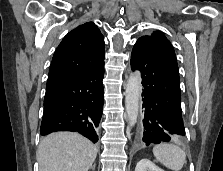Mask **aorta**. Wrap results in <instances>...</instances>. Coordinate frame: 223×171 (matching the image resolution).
<instances>
[{"mask_svg":"<svg viewBox=\"0 0 223 171\" xmlns=\"http://www.w3.org/2000/svg\"><path fill=\"white\" fill-rule=\"evenodd\" d=\"M140 93L141 74L139 71H135L129 76L125 91L126 116L131 126H134L137 122Z\"/></svg>","mask_w":223,"mask_h":171,"instance_id":"aorta-1","label":"aorta"}]
</instances>
